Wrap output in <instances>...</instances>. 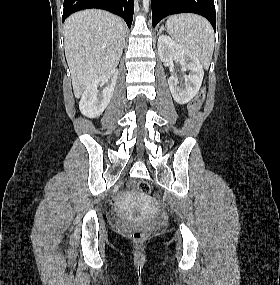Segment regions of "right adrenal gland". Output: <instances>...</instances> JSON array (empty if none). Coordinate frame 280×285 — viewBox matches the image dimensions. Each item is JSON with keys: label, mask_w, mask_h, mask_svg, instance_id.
Returning a JSON list of instances; mask_svg holds the SVG:
<instances>
[{"label": "right adrenal gland", "mask_w": 280, "mask_h": 285, "mask_svg": "<svg viewBox=\"0 0 280 285\" xmlns=\"http://www.w3.org/2000/svg\"><path fill=\"white\" fill-rule=\"evenodd\" d=\"M123 47H125V41H124V45H123Z\"/></svg>", "instance_id": "2a0ac1e0"}]
</instances>
